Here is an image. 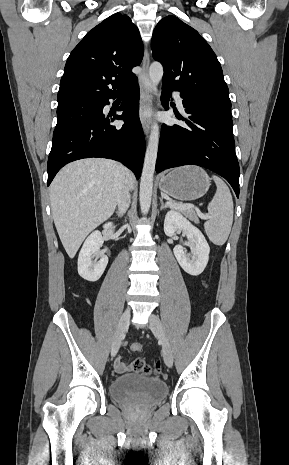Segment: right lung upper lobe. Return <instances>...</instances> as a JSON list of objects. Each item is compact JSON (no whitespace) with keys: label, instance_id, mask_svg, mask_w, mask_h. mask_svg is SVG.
<instances>
[{"label":"right lung upper lobe","instance_id":"cb5924a9","mask_svg":"<svg viewBox=\"0 0 289 465\" xmlns=\"http://www.w3.org/2000/svg\"><path fill=\"white\" fill-rule=\"evenodd\" d=\"M142 58L138 28L126 15H111L89 31L68 57L58 105L117 96L136 80L132 68L140 65Z\"/></svg>","mask_w":289,"mask_h":465}]
</instances>
